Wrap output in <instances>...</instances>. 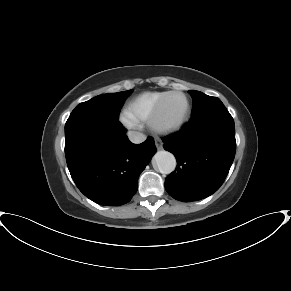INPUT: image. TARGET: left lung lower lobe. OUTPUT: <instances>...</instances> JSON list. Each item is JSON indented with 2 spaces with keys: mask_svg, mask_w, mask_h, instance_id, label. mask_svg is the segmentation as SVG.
Here are the masks:
<instances>
[{
  "mask_svg": "<svg viewBox=\"0 0 291 291\" xmlns=\"http://www.w3.org/2000/svg\"><path fill=\"white\" fill-rule=\"evenodd\" d=\"M162 141L177 160L175 171L165 179L166 191L179 201L201 200L219 189L233 163L234 120L224 105L219 106Z\"/></svg>",
  "mask_w": 291,
  "mask_h": 291,
  "instance_id": "1",
  "label": "left lung lower lobe"
}]
</instances>
